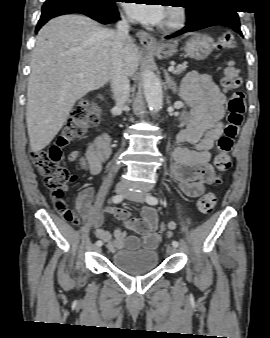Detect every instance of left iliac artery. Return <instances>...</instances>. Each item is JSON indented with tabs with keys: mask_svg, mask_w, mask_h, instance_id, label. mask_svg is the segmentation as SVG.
I'll use <instances>...</instances> for the list:
<instances>
[{
	"mask_svg": "<svg viewBox=\"0 0 270 338\" xmlns=\"http://www.w3.org/2000/svg\"><path fill=\"white\" fill-rule=\"evenodd\" d=\"M146 201H147V203L148 204H150V205H156V204H158V199L156 198V197H154V196H147L146 197ZM172 245L174 246V247H178V242L177 241H172Z\"/></svg>",
	"mask_w": 270,
	"mask_h": 338,
	"instance_id": "obj_1",
	"label": "left iliac artery"
}]
</instances>
